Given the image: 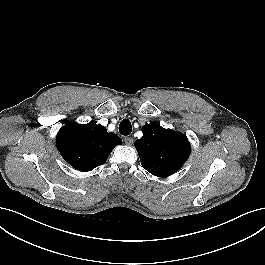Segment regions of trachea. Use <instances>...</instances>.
<instances>
[{
	"label": "trachea",
	"mask_w": 265,
	"mask_h": 265,
	"mask_svg": "<svg viewBox=\"0 0 265 265\" xmlns=\"http://www.w3.org/2000/svg\"><path fill=\"white\" fill-rule=\"evenodd\" d=\"M131 131H132V126L130 120L129 119L122 120L119 125L120 134L127 136L131 133Z\"/></svg>",
	"instance_id": "3493384b"
}]
</instances>
